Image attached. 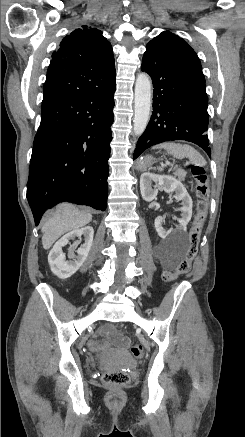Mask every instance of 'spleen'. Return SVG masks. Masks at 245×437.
<instances>
[{
    "instance_id": "obj_1",
    "label": "spleen",
    "mask_w": 245,
    "mask_h": 437,
    "mask_svg": "<svg viewBox=\"0 0 245 437\" xmlns=\"http://www.w3.org/2000/svg\"><path fill=\"white\" fill-rule=\"evenodd\" d=\"M153 149H165L167 152L172 154L175 158L182 159L184 157L188 158L196 166H204L206 160L195 148L188 144H180L175 142H165L153 147ZM163 170V166L158 168Z\"/></svg>"
}]
</instances>
